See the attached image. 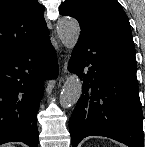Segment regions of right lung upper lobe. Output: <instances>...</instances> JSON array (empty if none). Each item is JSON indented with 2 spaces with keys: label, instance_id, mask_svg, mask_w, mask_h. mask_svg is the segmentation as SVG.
Segmentation results:
<instances>
[{
  "label": "right lung upper lobe",
  "instance_id": "cb5924a9",
  "mask_svg": "<svg viewBox=\"0 0 145 147\" xmlns=\"http://www.w3.org/2000/svg\"><path fill=\"white\" fill-rule=\"evenodd\" d=\"M37 0H0V58L49 35Z\"/></svg>",
  "mask_w": 145,
  "mask_h": 147
}]
</instances>
